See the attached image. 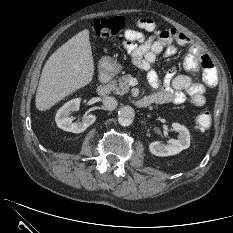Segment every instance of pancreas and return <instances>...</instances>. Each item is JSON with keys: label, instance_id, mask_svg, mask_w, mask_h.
I'll list each match as a JSON object with an SVG mask.
<instances>
[{"label": "pancreas", "instance_id": "obj_1", "mask_svg": "<svg viewBox=\"0 0 233 233\" xmlns=\"http://www.w3.org/2000/svg\"><path fill=\"white\" fill-rule=\"evenodd\" d=\"M131 78L130 74L124 75L118 80H112L110 81L107 86L110 91H112L114 94L118 95H124L129 91L130 85L129 80Z\"/></svg>", "mask_w": 233, "mask_h": 233}]
</instances>
